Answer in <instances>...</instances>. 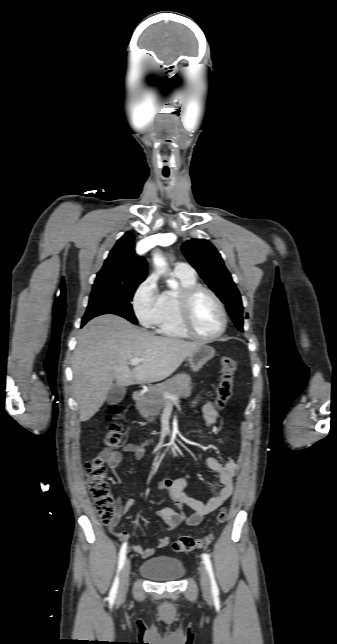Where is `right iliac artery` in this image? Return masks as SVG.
Here are the masks:
<instances>
[{"instance_id": "82829eb1", "label": "right iliac artery", "mask_w": 337, "mask_h": 644, "mask_svg": "<svg viewBox=\"0 0 337 644\" xmlns=\"http://www.w3.org/2000/svg\"><path fill=\"white\" fill-rule=\"evenodd\" d=\"M126 552H127V543H124L122 545V547L120 549V553H119L118 573L121 571V569H122V567H123V565L125 563ZM118 584H119V578H118V575H117L115 580H114L113 586H112V588L110 590V594H109V599L111 601H113L116 598V594H117V590H118Z\"/></svg>"}]
</instances>
